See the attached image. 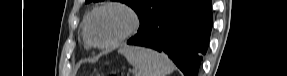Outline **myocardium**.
Instances as JSON below:
<instances>
[{
    "label": "myocardium",
    "instance_id": "f54148a6",
    "mask_svg": "<svg viewBox=\"0 0 287 76\" xmlns=\"http://www.w3.org/2000/svg\"><path fill=\"white\" fill-rule=\"evenodd\" d=\"M108 9H115L122 11L125 13L129 19L128 25L126 28L114 39L106 43H98L92 40L89 33V27L91 19L98 13L108 10ZM140 26V18L137 12L129 5L122 3V2H108L101 6L94 8L86 17L84 22V37L87 43L98 49H109L117 46L121 42L125 41L131 35H133Z\"/></svg>",
    "mask_w": 287,
    "mask_h": 76
}]
</instances>
